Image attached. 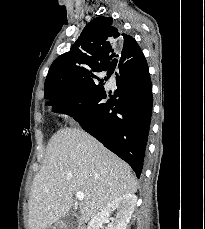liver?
Listing matches in <instances>:
<instances>
[{"mask_svg":"<svg viewBox=\"0 0 205 229\" xmlns=\"http://www.w3.org/2000/svg\"><path fill=\"white\" fill-rule=\"evenodd\" d=\"M137 180L130 166L79 128H64L48 142L28 201L30 229H47L64 217L73 195L83 192L80 222L86 223L113 200L133 194Z\"/></svg>","mask_w":205,"mask_h":229,"instance_id":"liver-1","label":"liver"}]
</instances>
